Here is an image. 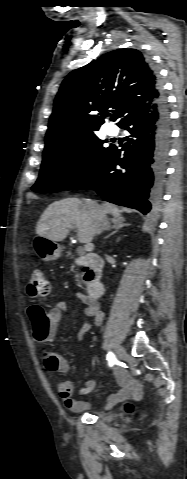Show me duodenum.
<instances>
[{"instance_id": "410a0bca", "label": "duodenum", "mask_w": 187, "mask_h": 479, "mask_svg": "<svg viewBox=\"0 0 187 479\" xmlns=\"http://www.w3.org/2000/svg\"><path fill=\"white\" fill-rule=\"evenodd\" d=\"M77 264L82 266L87 273V293L92 299L100 298L104 293V286L97 278V272L102 268L103 262L98 255L83 254Z\"/></svg>"}]
</instances>
